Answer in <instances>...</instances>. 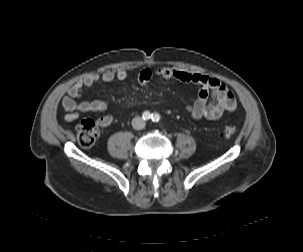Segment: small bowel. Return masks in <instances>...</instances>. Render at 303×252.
<instances>
[{
    "instance_id": "obj_1",
    "label": "small bowel",
    "mask_w": 303,
    "mask_h": 252,
    "mask_svg": "<svg viewBox=\"0 0 303 252\" xmlns=\"http://www.w3.org/2000/svg\"><path fill=\"white\" fill-rule=\"evenodd\" d=\"M129 75L128 70H108L101 74L93 73L74 83L68 89L62 99V107L65 110L64 119L75 121L82 114L96 113L106 110L107 104L103 100L82 101L76 100L83 95L85 88H92L97 82L109 83L114 80L123 81ZM159 76L166 80H177L183 83H193L198 86L196 98L187 107V112L195 120H216L223 114H230L237 108V100L234 93L218 78L186 72L172 67L142 68L137 74V81L145 85L153 77ZM113 121L110 115L98 119L101 127L109 126Z\"/></svg>"
}]
</instances>
